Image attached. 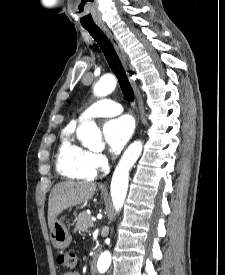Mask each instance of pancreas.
I'll return each mask as SVG.
<instances>
[{
  "label": "pancreas",
  "mask_w": 225,
  "mask_h": 275,
  "mask_svg": "<svg viewBox=\"0 0 225 275\" xmlns=\"http://www.w3.org/2000/svg\"><path fill=\"white\" fill-rule=\"evenodd\" d=\"M93 226L91 217L86 212H81L76 218V230L87 232L90 227Z\"/></svg>",
  "instance_id": "pancreas-1"
}]
</instances>
